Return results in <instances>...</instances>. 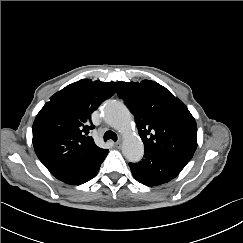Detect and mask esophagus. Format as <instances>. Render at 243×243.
I'll list each match as a JSON object with an SVG mask.
<instances>
[{"mask_svg": "<svg viewBox=\"0 0 243 243\" xmlns=\"http://www.w3.org/2000/svg\"><path fill=\"white\" fill-rule=\"evenodd\" d=\"M114 146H115L116 148H120V147H121V142H116V143H114Z\"/></svg>", "mask_w": 243, "mask_h": 243, "instance_id": "1", "label": "esophagus"}]
</instances>
